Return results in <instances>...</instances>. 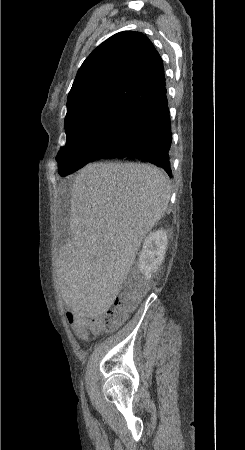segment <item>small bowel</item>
I'll use <instances>...</instances> for the list:
<instances>
[{
	"label": "small bowel",
	"mask_w": 245,
	"mask_h": 450,
	"mask_svg": "<svg viewBox=\"0 0 245 450\" xmlns=\"http://www.w3.org/2000/svg\"><path fill=\"white\" fill-rule=\"evenodd\" d=\"M71 285L73 287H75L77 285V281L76 280H72ZM66 320L70 323L72 329L75 331L76 335L81 338V339H85L86 338V333H83L81 331L78 330L77 326L81 323L82 321V317L80 314H78L77 312H75L73 306L71 303H69L67 305V311H66Z\"/></svg>",
	"instance_id": "1"
}]
</instances>
